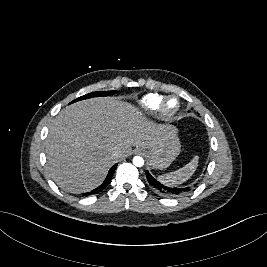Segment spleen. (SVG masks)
<instances>
[{
	"instance_id": "3e777b00",
	"label": "spleen",
	"mask_w": 267,
	"mask_h": 267,
	"mask_svg": "<svg viewBox=\"0 0 267 267\" xmlns=\"http://www.w3.org/2000/svg\"><path fill=\"white\" fill-rule=\"evenodd\" d=\"M198 160L199 157L195 156L188 164H186L184 167L168 173L159 176V180L167 185H177L180 184L186 180H188L193 173L195 172L197 166H198Z\"/></svg>"
}]
</instances>
